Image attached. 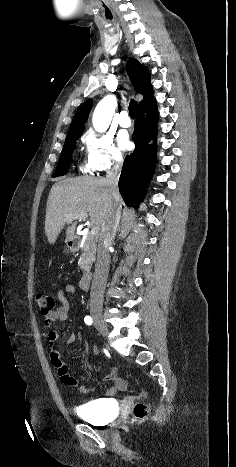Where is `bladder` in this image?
<instances>
[{
    "instance_id": "obj_1",
    "label": "bladder",
    "mask_w": 236,
    "mask_h": 467,
    "mask_svg": "<svg viewBox=\"0 0 236 467\" xmlns=\"http://www.w3.org/2000/svg\"><path fill=\"white\" fill-rule=\"evenodd\" d=\"M113 410L111 399L100 398L81 405L77 413L92 424L103 425L108 422V416L113 414Z\"/></svg>"
}]
</instances>
